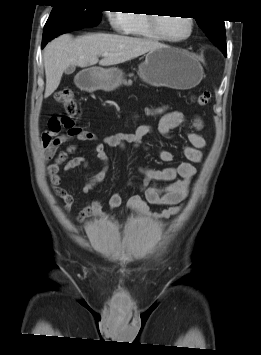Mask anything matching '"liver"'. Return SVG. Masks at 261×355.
Segmentation results:
<instances>
[{
  "label": "liver",
  "mask_w": 261,
  "mask_h": 355,
  "mask_svg": "<svg viewBox=\"0 0 261 355\" xmlns=\"http://www.w3.org/2000/svg\"><path fill=\"white\" fill-rule=\"evenodd\" d=\"M163 46L157 41L117 34L95 33L75 39L69 34L61 35L44 49V97H49L58 88L63 72L71 65L81 68L97 63L101 66L116 65ZM106 52L109 56L99 61V56Z\"/></svg>",
  "instance_id": "6515ba94"
}]
</instances>
